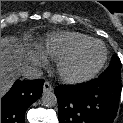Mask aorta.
<instances>
[{"label": "aorta", "instance_id": "1", "mask_svg": "<svg viewBox=\"0 0 123 123\" xmlns=\"http://www.w3.org/2000/svg\"><path fill=\"white\" fill-rule=\"evenodd\" d=\"M42 105L45 107H54L57 104V97L53 92L46 91L41 97Z\"/></svg>", "mask_w": 123, "mask_h": 123}]
</instances>
